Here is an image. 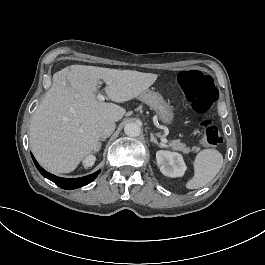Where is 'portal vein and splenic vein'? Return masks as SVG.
Instances as JSON below:
<instances>
[{"label": "portal vein and splenic vein", "instance_id": "1", "mask_svg": "<svg viewBox=\"0 0 265 265\" xmlns=\"http://www.w3.org/2000/svg\"><path fill=\"white\" fill-rule=\"evenodd\" d=\"M97 97H98V99L101 100V101H104V100H105V96H104L103 94H98ZM162 142H163V143H167L168 140L165 139V138H163V139H162Z\"/></svg>", "mask_w": 265, "mask_h": 265}]
</instances>
